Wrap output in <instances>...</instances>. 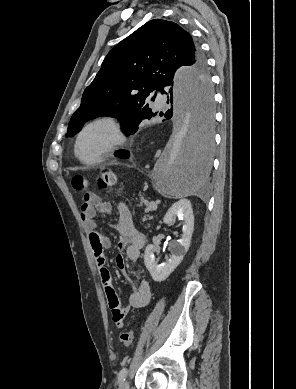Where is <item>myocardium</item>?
<instances>
[{
	"label": "myocardium",
	"instance_id": "obj_1",
	"mask_svg": "<svg viewBox=\"0 0 296 389\" xmlns=\"http://www.w3.org/2000/svg\"><path fill=\"white\" fill-rule=\"evenodd\" d=\"M98 126L106 127L109 130L111 136L110 141L96 158L91 160L84 159L83 157H81L79 153V146H80L81 139L90 129ZM124 141H125V134L119 119L113 116L98 117L85 124L78 132L74 144V154L76 158L84 164L87 165L98 164L104 161L107 157H109L118 147H120L124 143Z\"/></svg>",
	"mask_w": 296,
	"mask_h": 389
}]
</instances>
